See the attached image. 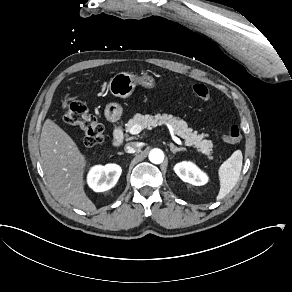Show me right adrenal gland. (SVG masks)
<instances>
[{"instance_id": "2a0ac1e0", "label": "right adrenal gland", "mask_w": 292, "mask_h": 292, "mask_svg": "<svg viewBox=\"0 0 292 292\" xmlns=\"http://www.w3.org/2000/svg\"><path fill=\"white\" fill-rule=\"evenodd\" d=\"M118 154H119V155H122V154H124V153H123V152H119Z\"/></svg>"}]
</instances>
